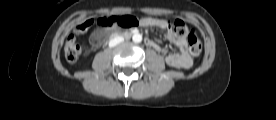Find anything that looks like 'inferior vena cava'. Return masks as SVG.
Instances as JSON below:
<instances>
[{
  "label": "inferior vena cava",
  "mask_w": 276,
  "mask_h": 120,
  "mask_svg": "<svg viewBox=\"0 0 276 120\" xmlns=\"http://www.w3.org/2000/svg\"><path fill=\"white\" fill-rule=\"evenodd\" d=\"M124 40V38L122 37H116L114 39H112L110 42H109V46L110 47H114L116 46L118 43L122 42Z\"/></svg>",
  "instance_id": "obj_1"
}]
</instances>
